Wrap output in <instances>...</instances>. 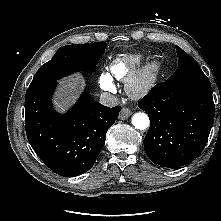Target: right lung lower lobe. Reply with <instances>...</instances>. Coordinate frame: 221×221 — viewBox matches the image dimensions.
<instances>
[{
	"instance_id": "obj_1",
	"label": "right lung lower lobe",
	"mask_w": 221,
	"mask_h": 221,
	"mask_svg": "<svg viewBox=\"0 0 221 221\" xmlns=\"http://www.w3.org/2000/svg\"><path fill=\"white\" fill-rule=\"evenodd\" d=\"M56 84L27 89L25 129L33 150L52 171L74 177L93 166L121 107L103 106L84 92L66 114L60 115L51 103Z\"/></svg>"
}]
</instances>
